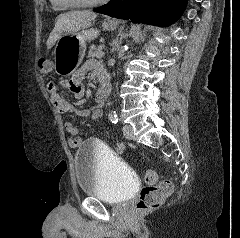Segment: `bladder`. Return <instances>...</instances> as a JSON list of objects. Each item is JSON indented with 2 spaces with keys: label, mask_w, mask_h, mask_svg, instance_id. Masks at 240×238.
I'll return each mask as SVG.
<instances>
[{
  "label": "bladder",
  "mask_w": 240,
  "mask_h": 238,
  "mask_svg": "<svg viewBox=\"0 0 240 238\" xmlns=\"http://www.w3.org/2000/svg\"><path fill=\"white\" fill-rule=\"evenodd\" d=\"M74 164L78 187L85 196L109 204H121L133 196L137 185L133 171L108 147L84 142Z\"/></svg>",
  "instance_id": "31cf9c89"
}]
</instances>
